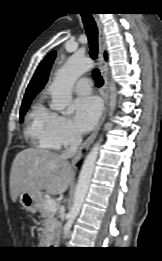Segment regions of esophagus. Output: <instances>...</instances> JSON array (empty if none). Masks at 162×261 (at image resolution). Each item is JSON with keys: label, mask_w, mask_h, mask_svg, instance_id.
Segmentation results:
<instances>
[{"label": "esophagus", "mask_w": 162, "mask_h": 261, "mask_svg": "<svg viewBox=\"0 0 162 261\" xmlns=\"http://www.w3.org/2000/svg\"><path fill=\"white\" fill-rule=\"evenodd\" d=\"M95 20H96L97 27H98V42H99L98 55H99V61H100V71H101V75H102L103 81H104L102 89H101V95H102V98H103V109H102V114H101L100 120L98 121L93 132L85 140L83 145L80 147L78 153L72 159L73 165H75L80 160V158L82 156V151L85 148H87L89 145H91L92 142L94 141V139L96 138L98 131L100 129L101 123H102V121L105 117L107 102H108V94H107L108 62H107V60L105 59V56H104V53H105V50H106V38H105V34H104V31H103V28H102V24L100 23V21L98 20L97 17H95Z\"/></svg>", "instance_id": "esophagus-1"}]
</instances>
